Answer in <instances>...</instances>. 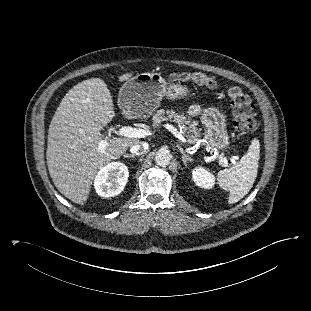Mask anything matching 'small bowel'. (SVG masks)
Wrapping results in <instances>:
<instances>
[{"label": "small bowel", "mask_w": 311, "mask_h": 311, "mask_svg": "<svg viewBox=\"0 0 311 311\" xmlns=\"http://www.w3.org/2000/svg\"><path fill=\"white\" fill-rule=\"evenodd\" d=\"M201 112V106L199 105H193L189 108L188 114L190 116H196Z\"/></svg>", "instance_id": "small-bowel-1"}]
</instances>
